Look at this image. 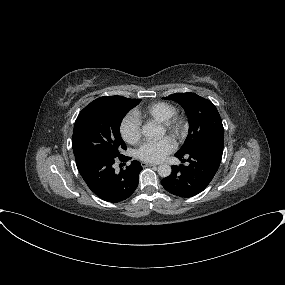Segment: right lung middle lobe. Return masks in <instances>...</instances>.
Here are the masks:
<instances>
[{
	"instance_id": "obj_1",
	"label": "right lung middle lobe",
	"mask_w": 285,
	"mask_h": 285,
	"mask_svg": "<svg viewBox=\"0 0 285 285\" xmlns=\"http://www.w3.org/2000/svg\"><path fill=\"white\" fill-rule=\"evenodd\" d=\"M141 100L121 96L102 97L92 101L78 115L72 138L74 156L100 155L117 158L126 145L120 135L124 116Z\"/></svg>"
}]
</instances>
